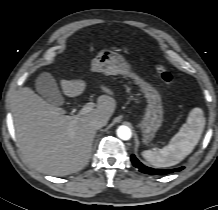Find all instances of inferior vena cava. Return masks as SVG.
Masks as SVG:
<instances>
[{
	"mask_svg": "<svg viewBox=\"0 0 218 210\" xmlns=\"http://www.w3.org/2000/svg\"><path fill=\"white\" fill-rule=\"evenodd\" d=\"M107 124V120L95 118L90 121V126L94 129H100Z\"/></svg>",
	"mask_w": 218,
	"mask_h": 210,
	"instance_id": "602c4592",
	"label": "inferior vena cava"
}]
</instances>
